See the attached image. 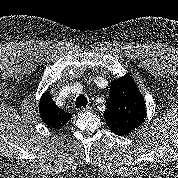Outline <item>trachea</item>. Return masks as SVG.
I'll return each mask as SVG.
<instances>
[{
	"label": "trachea",
	"instance_id": "trachea-1",
	"mask_svg": "<svg viewBox=\"0 0 178 178\" xmlns=\"http://www.w3.org/2000/svg\"><path fill=\"white\" fill-rule=\"evenodd\" d=\"M87 104H88V100L85 95L81 94L76 98L75 105L77 108L86 107Z\"/></svg>",
	"mask_w": 178,
	"mask_h": 178
}]
</instances>
